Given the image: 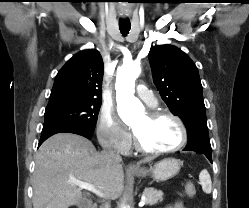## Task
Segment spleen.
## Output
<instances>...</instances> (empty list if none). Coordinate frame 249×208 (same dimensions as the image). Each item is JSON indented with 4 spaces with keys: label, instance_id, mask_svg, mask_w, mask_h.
<instances>
[{
    "label": "spleen",
    "instance_id": "3e777b00",
    "mask_svg": "<svg viewBox=\"0 0 249 208\" xmlns=\"http://www.w3.org/2000/svg\"><path fill=\"white\" fill-rule=\"evenodd\" d=\"M200 184L202 186L203 191L206 194H210L212 190V182L211 177L206 169H203L199 174Z\"/></svg>",
    "mask_w": 249,
    "mask_h": 208
}]
</instances>
